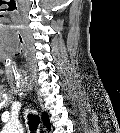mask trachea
Here are the masks:
<instances>
[{
    "label": "trachea",
    "instance_id": "1",
    "mask_svg": "<svg viewBox=\"0 0 120 133\" xmlns=\"http://www.w3.org/2000/svg\"><path fill=\"white\" fill-rule=\"evenodd\" d=\"M28 120H29L28 124H29L30 130L31 131H36L37 127H38V124H39L38 116L33 115V114H29L28 115Z\"/></svg>",
    "mask_w": 120,
    "mask_h": 133
}]
</instances>
